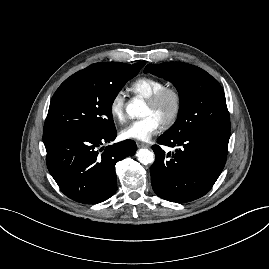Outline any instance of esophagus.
I'll return each instance as SVG.
<instances>
[{
    "mask_svg": "<svg viewBox=\"0 0 269 269\" xmlns=\"http://www.w3.org/2000/svg\"><path fill=\"white\" fill-rule=\"evenodd\" d=\"M137 147L138 148H147V147H149V145L146 143H143V142H137Z\"/></svg>",
    "mask_w": 269,
    "mask_h": 269,
    "instance_id": "1",
    "label": "esophagus"
}]
</instances>
